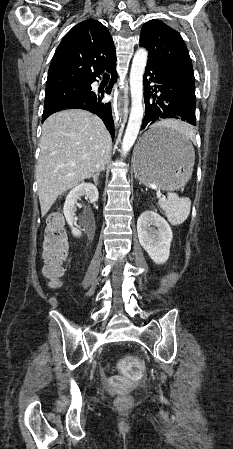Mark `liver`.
<instances>
[{"mask_svg":"<svg viewBox=\"0 0 233 449\" xmlns=\"http://www.w3.org/2000/svg\"><path fill=\"white\" fill-rule=\"evenodd\" d=\"M161 123L183 127L174 120ZM109 147L110 137L103 121L88 111L65 110L44 121L36 165L42 216L59 195L101 169Z\"/></svg>","mask_w":233,"mask_h":449,"instance_id":"1","label":"liver"}]
</instances>
